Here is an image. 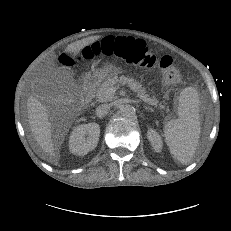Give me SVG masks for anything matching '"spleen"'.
Wrapping results in <instances>:
<instances>
[{"label": "spleen", "mask_w": 231, "mask_h": 231, "mask_svg": "<svg viewBox=\"0 0 231 231\" xmlns=\"http://www.w3.org/2000/svg\"><path fill=\"white\" fill-rule=\"evenodd\" d=\"M163 132L172 157L182 164L189 163L196 152L201 132L199 98L194 88L187 87L181 92L178 118L166 123Z\"/></svg>", "instance_id": "1"}]
</instances>
